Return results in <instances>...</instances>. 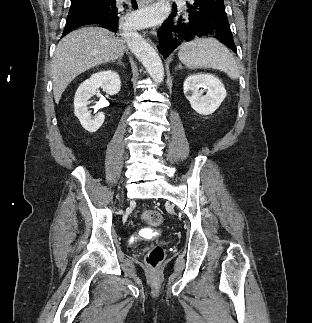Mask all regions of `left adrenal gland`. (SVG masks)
<instances>
[{"instance_id": "left-adrenal-gland-1", "label": "left adrenal gland", "mask_w": 312, "mask_h": 323, "mask_svg": "<svg viewBox=\"0 0 312 323\" xmlns=\"http://www.w3.org/2000/svg\"><path fill=\"white\" fill-rule=\"evenodd\" d=\"M178 68H182L181 64H179Z\"/></svg>"}]
</instances>
